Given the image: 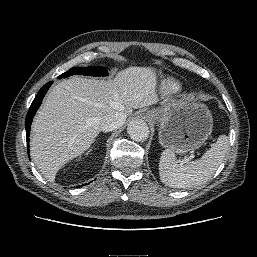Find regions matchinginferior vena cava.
Listing matches in <instances>:
<instances>
[{
	"instance_id": "1",
	"label": "inferior vena cava",
	"mask_w": 257,
	"mask_h": 257,
	"mask_svg": "<svg viewBox=\"0 0 257 257\" xmlns=\"http://www.w3.org/2000/svg\"><path fill=\"white\" fill-rule=\"evenodd\" d=\"M126 115L121 112H114L102 117L100 121V128L102 131L108 132L115 130L123 125Z\"/></svg>"
}]
</instances>
